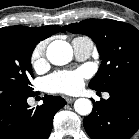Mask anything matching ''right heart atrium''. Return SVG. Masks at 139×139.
<instances>
[{
	"mask_svg": "<svg viewBox=\"0 0 139 139\" xmlns=\"http://www.w3.org/2000/svg\"><path fill=\"white\" fill-rule=\"evenodd\" d=\"M31 64L35 69H40L45 64V43L41 42L35 46L31 53Z\"/></svg>",
	"mask_w": 139,
	"mask_h": 139,
	"instance_id": "d8ad5b80",
	"label": "right heart atrium"
}]
</instances>
